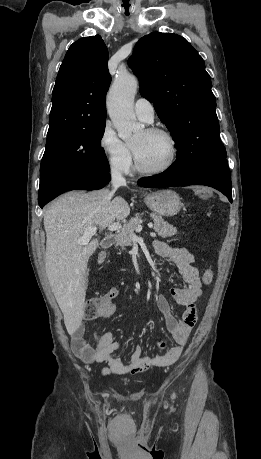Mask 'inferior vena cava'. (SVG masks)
<instances>
[{
    "label": "inferior vena cava",
    "mask_w": 261,
    "mask_h": 459,
    "mask_svg": "<svg viewBox=\"0 0 261 459\" xmlns=\"http://www.w3.org/2000/svg\"><path fill=\"white\" fill-rule=\"evenodd\" d=\"M113 190H117L120 186H126V179L122 176L120 170L114 167L111 172Z\"/></svg>",
    "instance_id": "inferior-vena-cava-1"
}]
</instances>
